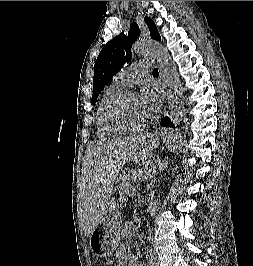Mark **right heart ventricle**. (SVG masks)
Returning <instances> with one entry per match:
<instances>
[{
    "label": "right heart ventricle",
    "instance_id": "1",
    "mask_svg": "<svg viewBox=\"0 0 253 266\" xmlns=\"http://www.w3.org/2000/svg\"><path fill=\"white\" fill-rule=\"evenodd\" d=\"M125 89V86L121 85L117 81L113 82L105 90L99 102L96 112V134L99 139L106 140L116 138L124 132L119 131L111 127L106 119L107 110L111 102Z\"/></svg>",
    "mask_w": 253,
    "mask_h": 266
}]
</instances>
